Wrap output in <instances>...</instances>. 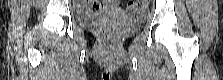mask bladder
Segmentation results:
<instances>
[{"mask_svg":"<svg viewBox=\"0 0 223 80\" xmlns=\"http://www.w3.org/2000/svg\"><path fill=\"white\" fill-rule=\"evenodd\" d=\"M109 18H118L120 20H123L122 14L117 13L116 10H105L100 13L84 16L82 17L81 21L83 24L88 25L90 23Z\"/></svg>","mask_w":223,"mask_h":80,"instance_id":"31cf9c89","label":"bladder"}]
</instances>
